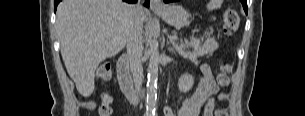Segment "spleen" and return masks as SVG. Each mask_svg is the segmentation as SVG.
<instances>
[{
    "instance_id": "3e777b00",
    "label": "spleen",
    "mask_w": 305,
    "mask_h": 116,
    "mask_svg": "<svg viewBox=\"0 0 305 116\" xmlns=\"http://www.w3.org/2000/svg\"><path fill=\"white\" fill-rule=\"evenodd\" d=\"M222 4V0H211L208 4H207V8L209 10H213V9H218L221 7Z\"/></svg>"
}]
</instances>
